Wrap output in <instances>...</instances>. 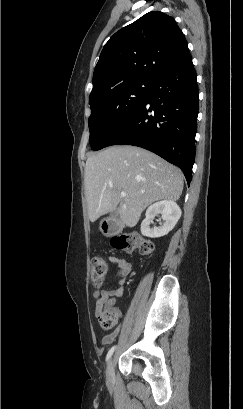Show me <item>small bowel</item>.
<instances>
[{
    "label": "small bowel",
    "mask_w": 243,
    "mask_h": 409,
    "mask_svg": "<svg viewBox=\"0 0 243 409\" xmlns=\"http://www.w3.org/2000/svg\"><path fill=\"white\" fill-rule=\"evenodd\" d=\"M108 258L111 262L118 264L119 268L115 273V282L119 285V287L117 289L101 290L96 301V316H98L99 311L102 309L105 303L112 304L117 298H120L123 295V285L131 272V264L127 260L120 259L115 256H109ZM117 333L118 328H115L111 333L104 335L102 338V343L104 345H109Z\"/></svg>",
    "instance_id": "obj_1"
}]
</instances>
